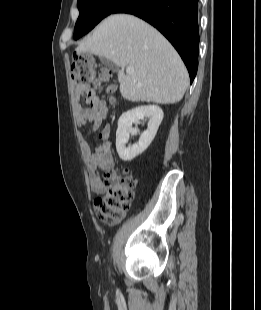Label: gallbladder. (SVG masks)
<instances>
[{
  "instance_id": "gallbladder-1",
  "label": "gallbladder",
  "mask_w": 261,
  "mask_h": 310,
  "mask_svg": "<svg viewBox=\"0 0 261 310\" xmlns=\"http://www.w3.org/2000/svg\"><path fill=\"white\" fill-rule=\"evenodd\" d=\"M100 61L107 68L112 69L113 71H117V66L112 61L108 60L107 58L101 57Z\"/></svg>"
}]
</instances>
